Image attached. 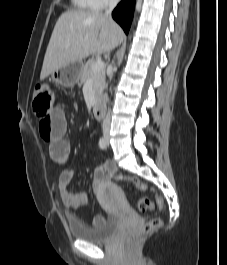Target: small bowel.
Wrapping results in <instances>:
<instances>
[{"label":"small bowel","mask_w":227,"mask_h":265,"mask_svg":"<svg viewBox=\"0 0 227 265\" xmlns=\"http://www.w3.org/2000/svg\"><path fill=\"white\" fill-rule=\"evenodd\" d=\"M41 138L48 143V152L51 159L59 164H66L71 153V146L66 139L67 120L63 110L55 107L49 116H42L39 122ZM114 168L110 164L97 167L92 172L93 190L98 191L105 181L107 174H112ZM74 177L71 169H63L58 177V190L61 202L67 208H76L86 204L88 195L86 192L74 193L69 186ZM69 222L77 223V219L71 214H66ZM104 218L97 215L92 219L94 226L100 225Z\"/></svg>","instance_id":"1"}]
</instances>
